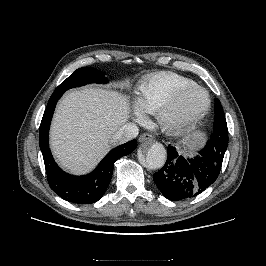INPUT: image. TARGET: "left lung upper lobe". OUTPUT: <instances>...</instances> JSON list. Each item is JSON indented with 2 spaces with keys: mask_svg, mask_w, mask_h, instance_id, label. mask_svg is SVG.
I'll return each instance as SVG.
<instances>
[{
  "mask_svg": "<svg viewBox=\"0 0 266 266\" xmlns=\"http://www.w3.org/2000/svg\"><path fill=\"white\" fill-rule=\"evenodd\" d=\"M216 138L228 140L227 123L221 103L218 99H215L214 131L211 136V139L209 140V143L214 141V139Z\"/></svg>",
  "mask_w": 266,
  "mask_h": 266,
  "instance_id": "1",
  "label": "left lung upper lobe"
}]
</instances>
